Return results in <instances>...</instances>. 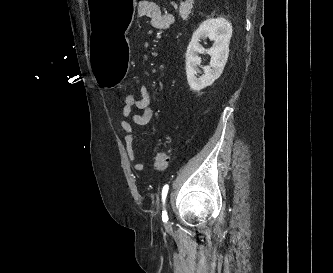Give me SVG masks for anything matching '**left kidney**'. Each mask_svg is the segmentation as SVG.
<instances>
[{"label": "left kidney", "instance_id": "left-kidney-1", "mask_svg": "<svg viewBox=\"0 0 333 273\" xmlns=\"http://www.w3.org/2000/svg\"><path fill=\"white\" fill-rule=\"evenodd\" d=\"M232 31V25L228 20L217 18L202 22L193 33L186 52V75L192 90L200 91L220 77L228 59ZM207 38L214 43L210 49L205 50L200 40ZM204 52L211 56L210 66L203 67V74L197 77V73H201L198 69L201 64L199 54Z\"/></svg>", "mask_w": 333, "mask_h": 273}]
</instances>
